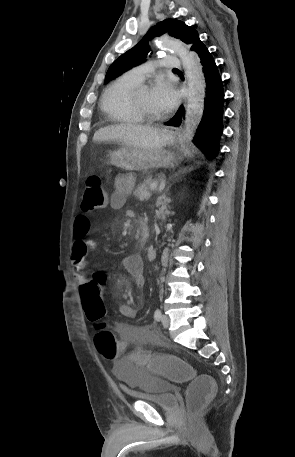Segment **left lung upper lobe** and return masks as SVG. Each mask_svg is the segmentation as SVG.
Here are the masks:
<instances>
[{"label": "left lung upper lobe", "instance_id": "obj_1", "mask_svg": "<svg viewBox=\"0 0 295 457\" xmlns=\"http://www.w3.org/2000/svg\"><path fill=\"white\" fill-rule=\"evenodd\" d=\"M166 32H168L170 36L182 40L189 46H192L193 43L199 39L198 32L184 22L176 19H165L151 27L136 46L122 54L112 63L107 71L106 80L110 81L145 61L147 54L150 51L147 46L148 41L156 36H161Z\"/></svg>", "mask_w": 295, "mask_h": 457}]
</instances>
